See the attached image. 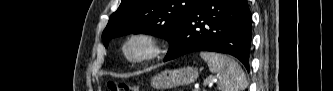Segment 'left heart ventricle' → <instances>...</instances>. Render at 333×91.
Segmentation results:
<instances>
[{
    "instance_id": "obj_1",
    "label": "left heart ventricle",
    "mask_w": 333,
    "mask_h": 91,
    "mask_svg": "<svg viewBox=\"0 0 333 91\" xmlns=\"http://www.w3.org/2000/svg\"><path fill=\"white\" fill-rule=\"evenodd\" d=\"M141 50H142V46L139 43H135L129 48V51L131 54H138L141 52Z\"/></svg>"
}]
</instances>
